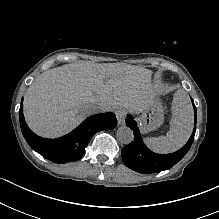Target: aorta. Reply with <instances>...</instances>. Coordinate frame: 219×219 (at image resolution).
<instances>
[{
    "label": "aorta",
    "instance_id": "1",
    "mask_svg": "<svg viewBox=\"0 0 219 219\" xmlns=\"http://www.w3.org/2000/svg\"><path fill=\"white\" fill-rule=\"evenodd\" d=\"M117 139L125 145L130 144L134 140L133 131L127 126H121L116 133Z\"/></svg>",
    "mask_w": 219,
    "mask_h": 219
}]
</instances>
